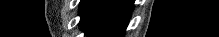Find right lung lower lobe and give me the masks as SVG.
I'll return each mask as SVG.
<instances>
[{
	"label": "right lung lower lobe",
	"mask_w": 219,
	"mask_h": 37,
	"mask_svg": "<svg viewBox=\"0 0 219 37\" xmlns=\"http://www.w3.org/2000/svg\"><path fill=\"white\" fill-rule=\"evenodd\" d=\"M132 9V0H82L79 25L88 37H123Z\"/></svg>",
	"instance_id": "right-lung-lower-lobe-1"
}]
</instances>
